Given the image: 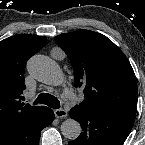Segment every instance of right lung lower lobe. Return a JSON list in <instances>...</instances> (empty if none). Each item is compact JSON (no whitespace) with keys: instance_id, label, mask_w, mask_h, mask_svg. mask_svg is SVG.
Instances as JSON below:
<instances>
[{"instance_id":"obj_1","label":"right lung lower lobe","mask_w":145,"mask_h":145,"mask_svg":"<svg viewBox=\"0 0 145 145\" xmlns=\"http://www.w3.org/2000/svg\"><path fill=\"white\" fill-rule=\"evenodd\" d=\"M54 112L44 107L29 118L0 132V145H38L40 132L54 120Z\"/></svg>"}]
</instances>
